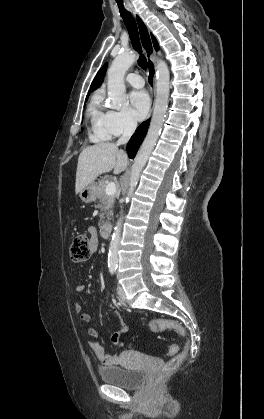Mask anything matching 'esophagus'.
<instances>
[{
  "instance_id": "1",
  "label": "esophagus",
  "mask_w": 264,
  "mask_h": 419,
  "mask_svg": "<svg viewBox=\"0 0 264 419\" xmlns=\"http://www.w3.org/2000/svg\"><path fill=\"white\" fill-rule=\"evenodd\" d=\"M132 14L137 24L141 45L147 58L149 87H150L151 96H152V109H151V112H152L153 107H154L155 90H156V66L154 63L155 50H154V46L152 43L148 26L146 25L145 21L135 9H132Z\"/></svg>"
}]
</instances>
